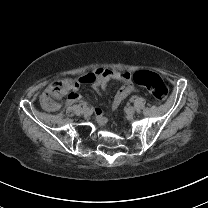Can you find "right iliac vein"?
Wrapping results in <instances>:
<instances>
[{"label":"right iliac vein","instance_id":"obj_1","mask_svg":"<svg viewBox=\"0 0 208 208\" xmlns=\"http://www.w3.org/2000/svg\"><path fill=\"white\" fill-rule=\"evenodd\" d=\"M82 112H83V114L87 115V114H89L90 109L88 107L84 108Z\"/></svg>","mask_w":208,"mask_h":208}]
</instances>
